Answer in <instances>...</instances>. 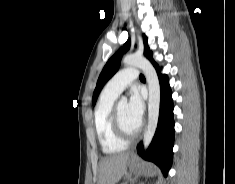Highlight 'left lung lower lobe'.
I'll list each match as a JSON object with an SVG mask.
<instances>
[{"mask_svg":"<svg viewBox=\"0 0 235 184\" xmlns=\"http://www.w3.org/2000/svg\"><path fill=\"white\" fill-rule=\"evenodd\" d=\"M151 63L155 67L161 88V101L158 126L147 151L144 152L143 145L140 143L137 152L144 159L154 162L160 167L164 176H167L172 165L173 145H174V119H173V100L172 91L169 86L167 75L161 74L158 64L150 58Z\"/></svg>","mask_w":235,"mask_h":184,"instance_id":"1","label":"left lung lower lobe"}]
</instances>
